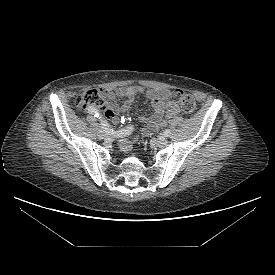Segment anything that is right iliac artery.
Masks as SVG:
<instances>
[{
  "instance_id": "82829eb1",
  "label": "right iliac artery",
  "mask_w": 275,
  "mask_h": 275,
  "mask_svg": "<svg viewBox=\"0 0 275 275\" xmlns=\"http://www.w3.org/2000/svg\"><path fill=\"white\" fill-rule=\"evenodd\" d=\"M87 111L94 115L96 118H99L100 121H101V127L104 129V131L108 134H111V135H114L115 137L117 138H122V137H126L128 135L131 134V132L133 131V127L132 126H128V127H125L123 129H120L118 131H114L113 129H110L109 128V125L107 122H105L103 119H102V116L100 115V113L98 112V110L95 108V107H88L87 108Z\"/></svg>"
}]
</instances>
